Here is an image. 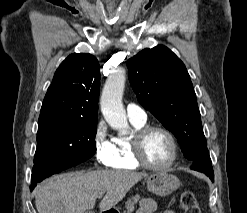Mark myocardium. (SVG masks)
<instances>
[{
    "label": "myocardium",
    "mask_w": 247,
    "mask_h": 213,
    "mask_svg": "<svg viewBox=\"0 0 247 213\" xmlns=\"http://www.w3.org/2000/svg\"><path fill=\"white\" fill-rule=\"evenodd\" d=\"M153 131H160L164 133L168 137L170 144H171V148H172L170 160L166 164L161 165V166H157V165H153L149 163L143 155L144 139L149 133ZM131 152H132V157L134 161L139 166L152 170V171H165L171 168L175 164L178 158L179 147H178V142H177L176 137L169 129L161 125H146L136 130L134 134L132 135Z\"/></svg>",
    "instance_id": "obj_1"
}]
</instances>
